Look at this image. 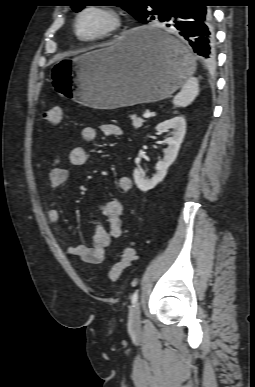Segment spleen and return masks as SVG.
I'll return each mask as SVG.
<instances>
[{"instance_id": "spleen-1", "label": "spleen", "mask_w": 255, "mask_h": 387, "mask_svg": "<svg viewBox=\"0 0 255 387\" xmlns=\"http://www.w3.org/2000/svg\"><path fill=\"white\" fill-rule=\"evenodd\" d=\"M198 94L199 83L197 78L189 77L181 91L174 97L173 104L176 107H186L194 101Z\"/></svg>"}]
</instances>
